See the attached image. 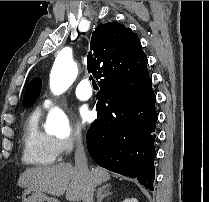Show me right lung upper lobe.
<instances>
[{
	"instance_id": "1",
	"label": "right lung upper lobe",
	"mask_w": 209,
	"mask_h": 202,
	"mask_svg": "<svg viewBox=\"0 0 209 202\" xmlns=\"http://www.w3.org/2000/svg\"><path fill=\"white\" fill-rule=\"evenodd\" d=\"M87 56L89 72L100 87L116 90L139 80L147 72V56L138 36L123 24H99L91 37Z\"/></svg>"
}]
</instances>
